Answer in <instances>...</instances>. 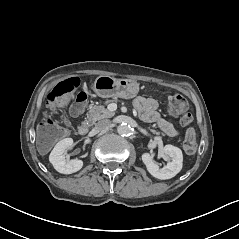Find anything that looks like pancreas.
Returning <instances> with one entry per match:
<instances>
[{"label":"pancreas","mask_w":239,"mask_h":239,"mask_svg":"<svg viewBox=\"0 0 239 239\" xmlns=\"http://www.w3.org/2000/svg\"><path fill=\"white\" fill-rule=\"evenodd\" d=\"M115 115V112L109 111L103 105L94 106L89 113L87 114L88 122L91 124H95L97 121L102 120L104 118H111ZM153 134L159 135L160 132L150 129ZM164 135V134H163Z\"/></svg>","instance_id":"pancreas-1"}]
</instances>
